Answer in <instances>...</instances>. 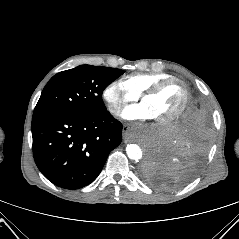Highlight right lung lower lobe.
<instances>
[{"instance_id": "98d812e1", "label": "right lung lower lobe", "mask_w": 239, "mask_h": 239, "mask_svg": "<svg viewBox=\"0 0 239 239\" xmlns=\"http://www.w3.org/2000/svg\"><path fill=\"white\" fill-rule=\"evenodd\" d=\"M122 124L99 114L51 111L33 114V156L53 184L79 189L92 183L122 141Z\"/></svg>"}]
</instances>
